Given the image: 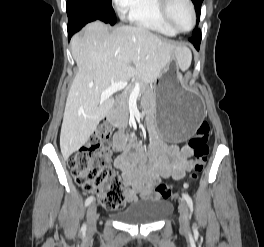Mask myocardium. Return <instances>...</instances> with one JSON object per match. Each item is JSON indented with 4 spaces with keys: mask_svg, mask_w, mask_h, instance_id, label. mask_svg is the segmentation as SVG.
I'll return each mask as SVG.
<instances>
[{
    "mask_svg": "<svg viewBox=\"0 0 264 247\" xmlns=\"http://www.w3.org/2000/svg\"><path fill=\"white\" fill-rule=\"evenodd\" d=\"M185 2L188 4L190 10H191V15H192V21L191 24L189 25V27L181 29L178 28L172 21L171 16H170V6L172 3V0H159V10L160 13L163 17V19L167 22V24L169 26H171L175 32L181 33V32H187L189 30H191L195 24H196V10H195V6L192 0H185Z\"/></svg>",
    "mask_w": 264,
    "mask_h": 247,
    "instance_id": "myocardium-1",
    "label": "myocardium"
}]
</instances>
